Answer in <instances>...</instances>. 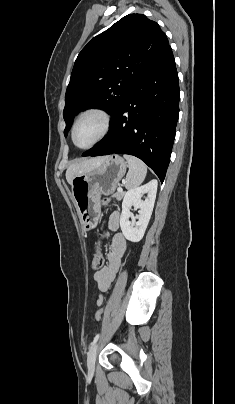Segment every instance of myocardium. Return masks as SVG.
Wrapping results in <instances>:
<instances>
[{"mask_svg": "<svg viewBox=\"0 0 235 404\" xmlns=\"http://www.w3.org/2000/svg\"><path fill=\"white\" fill-rule=\"evenodd\" d=\"M90 115H96L101 118V120H102L101 132L98 135V137L95 140H93L91 143H89L88 145L78 146L75 142L76 127L83 118L90 116ZM110 127H111V116L108 113V111H106L103 108H99V107L89 108V109L83 111L82 113H80L78 115V117L76 118V120L74 121L72 128H71V141L74 144V146L77 147L78 149H81V150L89 149V148L93 147L94 145H96L97 143H99L101 140H103L107 136V134L110 131Z\"/></svg>", "mask_w": 235, "mask_h": 404, "instance_id": "myocardium-1", "label": "myocardium"}]
</instances>
